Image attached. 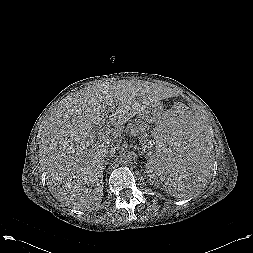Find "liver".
<instances>
[{
	"instance_id": "obj_1",
	"label": "liver",
	"mask_w": 253,
	"mask_h": 253,
	"mask_svg": "<svg viewBox=\"0 0 253 253\" xmlns=\"http://www.w3.org/2000/svg\"><path fill=\"white\" fill-rule=\"evenodd\" d=\"M158 100L156 85L134 81L102 82L68 97L41 133L39 163L50 193L73 209L97 208L103 198L105 145L89 141L93 128L108 117L119 130Z\"/></svg>"
}]
</instances>
